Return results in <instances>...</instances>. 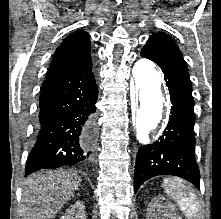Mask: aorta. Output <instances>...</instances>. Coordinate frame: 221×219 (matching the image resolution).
<instances>
[{
    "label": "aorta",
    "instance_id": "aorta-1",
    "mask_svg": "<svg viewBox=\"0 0 221 219\" xmlns=\"http://www.w3.org/2000/svg\"><path fill=\"white\" fill-rule=\"evenodd\" d=\"M133 120L137 139L145 142L149 131L161 122L165 108V93L156 65L149 59L136 61L133 70Z\"/></svg>",
    "mask_w": 221,
    "mask_h": 219
}]
</instances>
